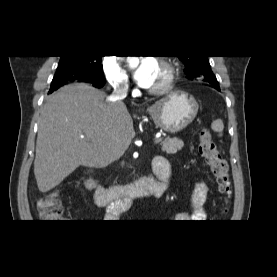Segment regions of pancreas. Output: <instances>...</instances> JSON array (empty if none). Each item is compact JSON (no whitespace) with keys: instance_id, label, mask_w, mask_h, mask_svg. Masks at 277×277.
Here are the masks:
<instances>
[{"instance_id":"1","label":"pancreas","mask_w":277,"mask_h":277,"mask_svg":"<svg viewBox=\"0 0 277 277\" xmlns=\"http://www.w3.org/2000/svg\"><path fill=\"white\" fill-rule=\"evenodd\" d=\"M162 151L166 152L167 154H175L180 151L183 146L184 142L178 138H165L164 141H161Z\"/></svg>"}]
</instances>
